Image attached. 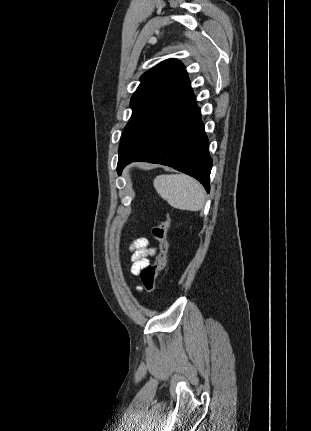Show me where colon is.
<instances>
[{"instance_id": "colon-1", "label": "colon", "mask_w": 311, "mask_h": 431, "mask_svg": "<svg viewBox=\"0 0 311 431\" xmlns=\"http://www.w3.org/2000/svg\"><path fill=\"white\" fill-rule=\"evenodd\" d=\"M170 227V218L165 214L164 219L153 228V236L159 244V253L155 261L143 268L141 280L144 288L149 293H154L157 289V279L159 272L164 268L168 261L170 244L168 241V231Z\"/></svg>"}]
</instances>
